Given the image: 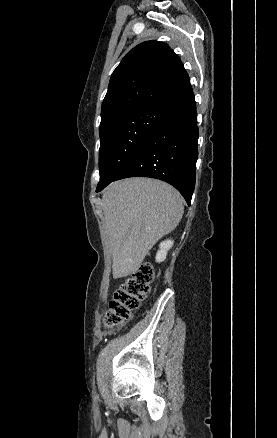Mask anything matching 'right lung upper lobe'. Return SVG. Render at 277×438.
I'll use <instances>...</instances> for the list:
<instances>
[{
	"mask_svg": "<svg viewBox=\"0 0 277 438\" xmlns=\"http://www.w3.org/2000/svg\"><path fill=\"white\" fill-rule=\"evenodd\" d=\"M189 77L168 45L147 41L133 48L114 70L102 103L101 120L166 110L191 92Z\"/></svg>",
	"mask_w": 277,
	"mask_h": 438,
	"instance_id": "right-lung-upper-lobe-1",
	"label": "right lung upper lobe"
}]
</instances>
